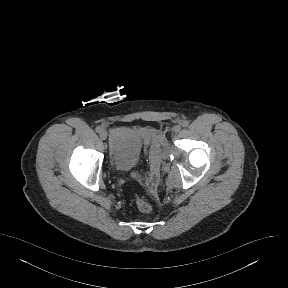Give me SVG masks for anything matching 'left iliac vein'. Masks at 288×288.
<instances>
[{"instance_id": "4c4485c4", "label": "left iliac vein", "mask_w": 288, "mask_h": 288, "mask_svg": "<svg viewBox=\"0 0 288 288\" xmlns=\"http://www.w3.org/2000/svg\"><path fill=\"white\" fill-rule=\"evenodd\" d=\"M181 130V126L180 125H175L173 127V132L178 133Z\"/></svg>"}]
</instances>
